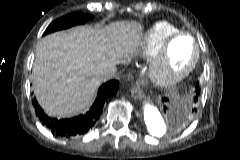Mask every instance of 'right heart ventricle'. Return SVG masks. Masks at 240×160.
Segmentation results:
<instances>
[{"label":"right heart ventricle","instance_id":"e07e8e85","mask_svg":"<svg viewBox=\"0 0 240 160\" xmlns=\"http://www.w3.org/2000/svg\"><path fill=\"white\" fill-rule=\"evenodd\" d=\"M177 32L179 29L169 22H156L141 37L137 51L138 56L144 60H150L158 53L163 43Z\"/></svg>","mask_w":240,"mask_h":160}]
</instances>
